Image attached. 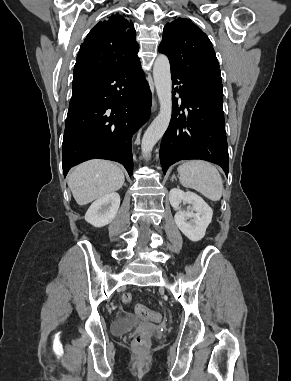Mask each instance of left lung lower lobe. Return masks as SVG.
<instances>
[{"mask_svg":"<svg viewBox=\"0 0 291 381\" xmlns=\"http://www.w3.org/2000/svg\"><path fill=\"white\" fill-rule=\"evenodd\" d=\"M172 86L182 103L174 99L173 114L160 146L165 174L179 160L202 159L220 165L228 177V145L223 112V91L197 85L171 70ZM183 111L180 114V111Z\"/></svg>","mask_w":291,"mask_h":381,"instance_id":"left-lung-lower-lobe-1","label":"left lung lower lobe"}]
</instances>
